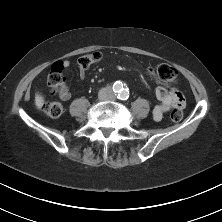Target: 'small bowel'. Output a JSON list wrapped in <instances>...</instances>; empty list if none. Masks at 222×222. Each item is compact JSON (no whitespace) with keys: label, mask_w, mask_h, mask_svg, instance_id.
<instances>
[{"label":"small bowel","mask_w":222,"mask_h":222,"mask_svg":"<svg viewBox=\"0 0 222 222\" xmlns=\"http://www.w3.org/2000/svg\"><path fill=\"white\" fill-rule=\"evenodd\" d=\"M64 67L69 65L68 61H65ZM147 72L155 79L154 83L156 85H160L162 83V76L155 71L153 67H149ZM79 76L81 79H84L86 76V71L82 67H79ZM60 98L64 101H67L71 98L70 90L67 84H62V90L59 94ZM156 97L159 100V104H157L153 109V118L156 121H160L163 115L168 112L172 108H180L185 104L184 95L182 92L177 89H165L159 86L156 89Z\"/></svg>","instance_id":"small-bowel-1"}]
</instances>
